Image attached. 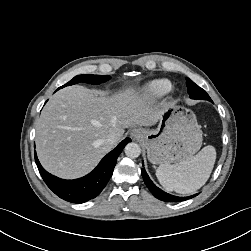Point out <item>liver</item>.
<instances>
[{"instance_id":"1","label":"liver","mask_w":251,"mask_h":251,"mask_svg":"<svg viewBox=\"0 0 251 251\" xmlns=\"http://www.w3.org/2000/svg\"><path fill=\"white\" fill-rule=\"evenodd\" d=\"M167 104L154 105L133 88L112 96L83 86L56 92L41 112L36 150L43 167L66 179L89 173L113 147L110 133L122 139L124 129L156 124Z\"/></svg>"}]
</instances>
